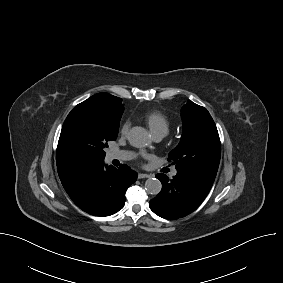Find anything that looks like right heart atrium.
Listing matches in <instances>:
<instances>
[{"label": "right heart atrium", "mask_w": 283, "mask_h": 283, "mask_svg": "<svg viewBox=\"0 0 283 283\" xmlns=\"http://www.w3.org/2000/svg\"><path fill=\"white\" fill-rule=\"evenodd\" d=\"M130 128V121L129 120H124L122 121L121 125H120V133L121 135H126L129 131Z\"/></svg>", "instance_id": "right-heart-atrium-1"}]
</instances>
